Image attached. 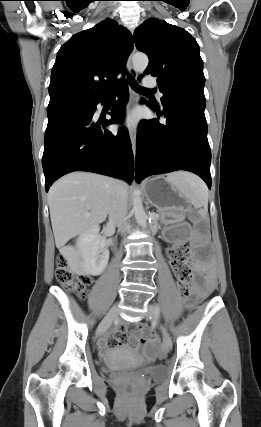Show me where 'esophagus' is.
I'll list each match as a JSON object with an SVG mask.
<instances>
[{
    "instance_id": "34e87169",
    "label": "esophagus",
    "mask_w": 261,
    "mask_h": 427,
    "mask_svg": "<svg viewBox=\"0 0 261 427\" xmlns=\"http://www.w3.org/2000/svg\"><path fill=\"white\" fill-rule=\"evenodd\" d=\"M134 52H135V47L133 48V50H132V52L129 55L128 60H127V68H128L130 75L133 78L137 76V71L135 70V68L133 66V62H132V57H133ZM130 140H131V145H132L133 156L135 159V157H136V133H135V131L130 132Z\"/></svg>"
}]
</instances>
